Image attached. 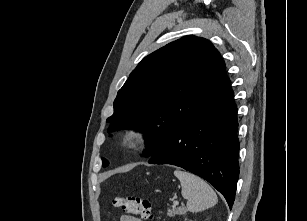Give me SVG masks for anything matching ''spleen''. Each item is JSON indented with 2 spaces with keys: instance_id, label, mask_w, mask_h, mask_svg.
I'll return each mask as SVG.
<instances>
[{
  "instance_id": "3e777b00",
  "label": "spleen",
  "mask_w": 307,
  "mask_h": 221,
  "mask_svg": "<svg viewBox=\"0 0 307 221\" xmlns=\"http://www.w3.org/2000/svg\"><path fill=\"white\" fill-rule=\"evenodd\" d=\"M180 180L182 196L187 199V210L199 212L217 204L218 198L211 186L200 177L186 171L175 170Z\"/></svg>"
}]
</instances>
